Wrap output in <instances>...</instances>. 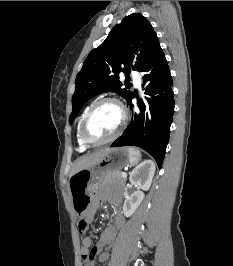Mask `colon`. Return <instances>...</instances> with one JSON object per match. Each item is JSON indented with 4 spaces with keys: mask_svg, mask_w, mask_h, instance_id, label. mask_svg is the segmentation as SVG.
<instances>
[{
    "mask_svg": "<svg viewBox=\"0 0 233 266\" xmlns=\"http://www.w3.org/2000/svg\"><path fill=\"white\" fill-rule=\"evenodd\" d=\"M78 226H79L80 232L83 233V232H85L87 230L88 223H87V221L85 219H82V220L79 221V225ZM91 258H92L91 255L86 256L85 257L86 262H88V263L91 262Z\"/></svg>",
    "mask_w": 233,
    "mask_h": 266,
    "instance_id": "colon-1",
    "label": "colon"
}]
</instances>
